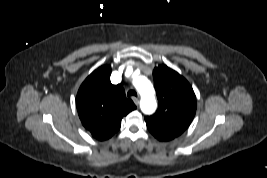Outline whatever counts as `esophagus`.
Instances as JSON below:
<instances>
[{"label": "esophagus", "mask_w": 267, "mask_h": 178, "mask_svg": "<svg viewBox=\"0 0 267 178\" xmlns=\"http://www.w3.org/2000/svg\"><path fill=\"white\" fill-rule=\"evenodd\" d=\"M132 100L136 105H139V98L138 97H132Z\"/></svg>", "instance_id": "34e87169"}]
</instances>
